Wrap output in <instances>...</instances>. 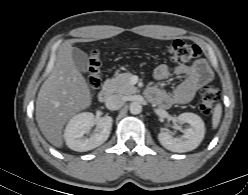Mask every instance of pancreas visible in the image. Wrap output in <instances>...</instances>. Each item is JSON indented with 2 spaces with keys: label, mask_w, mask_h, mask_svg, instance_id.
Segmentation results:
<instances>
[{
  "label": "pancreas",
  "mask_w": 248,
  "mask_h": 195,
  "mask_svg": "<svg viewBox=\"0 0 248 195\" xmlns=\"http://www.w3.org/2000/svg\"><path fill=\"white\" fill-rule=\"evenodd\" d=\"M131 77L132 74L130 72L120 73L114 78L106 80L105 88L110 93L133 94L137 91V88L130 83Z\"/></svg>",
  "instance_id": "1"
}]
</instances>
